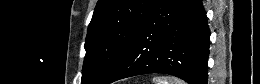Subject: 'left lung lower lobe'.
<instances>
[{"instance_id": "obj_1", "label": "left lung lower lobe", "mask_w": 260, "mask_h": 84, "mask_svg": "<svg viewBox=\"0 0 260 84\" xmlns=\"http://www.w3.org/2000/svg\"><path fill=\"white\" fill-rule=\"evenodd\" d=\"M209 38L201 0H157L102 84L147 73L207 84Z\"/></svg>"}]
</instances>
